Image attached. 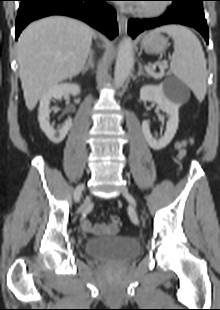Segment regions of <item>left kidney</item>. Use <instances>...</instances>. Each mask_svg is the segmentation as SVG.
Returning a JSON list of instances; mask_svg holds the SVG:
<instances>
[{
	"instance_id": "left-kidney-1",
	"label": "left kidney",
	"mask_w": 220,
	"mask_h": 310,
	"mask_svg": "<svg viewBox=\"0 0 220 310\" xmlns=\"http://www.w3.org/2000/svg\"><path fill=\"white\" fill-rule=\"evenodd\" d=\"M140 99L142 101H154L169 116L165 133L159 139L151 134L149 122L147 120L142 122V132L149 146L154 150H161L171 142L178 129L180 102L172 92L165 91L161 85L143 86L140 90Z\"/></svg>"
}]
</instances>
